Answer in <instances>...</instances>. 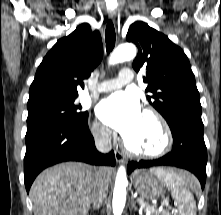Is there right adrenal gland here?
<instances>
[{
	"label": "right adrenal gland",
	"mask_w": 221,
	"mask_h": 215,
	"mask_svg": "<svg viewBox=\"0 0 221 215\" xmlns=\"http://www.w3.org/2000/svg\"><path fill=\"white\" fill-rule=\"evenodd\" d=\"M94 210H98L99 209V206H93L92 207Z\"/></svg>",
	"instance_id": "2a0ac1e0"
}]
</instances>
